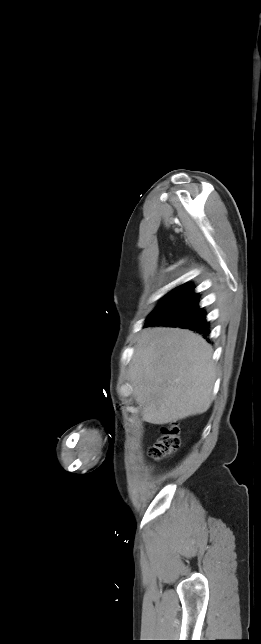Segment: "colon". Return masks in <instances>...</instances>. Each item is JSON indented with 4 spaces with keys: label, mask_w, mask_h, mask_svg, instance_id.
Returning <instances> with one entry per match:
<instances>
[{
    "label": "colon",
    "mask_w": 261,
    "mask_h": 644,
    "mask_svg": "<svg viewBox=\"0 0 261 644\" xmlns=\"http://www.w3.org/2000/svg\"><path fill=\"white\" fill-rule=\"evenodd\" d=\"M179 433V427L175 423L163 427L161 435L150 448V456L155 460H162L175 453L180 445Z\"/></svg>",
    "instance_id": "obj_1"
}]
</instances>
